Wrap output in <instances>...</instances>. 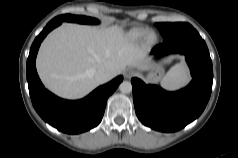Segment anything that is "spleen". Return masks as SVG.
<instances>
[{"label":"spleen","instance_id":"obj_1","mask_svg":"<svg viewBox=\"0 0 238 158\" xmlns=\"http://www.w3.org/2000/svg\"><path fill=\"white\" fill-rule=\"evenodd\" d=\"M190 80L187 67L178 63L174 65L162 78L161 86L166 90H176L187 84Z\"/></svg>","mask_w":238,"mask_h":158}]
</instances>
